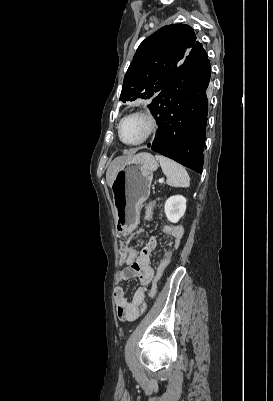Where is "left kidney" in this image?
Returning a JSON list of instances; mask_svg holds the SVG:
<instances>
[{
  "label": "left kidney",
  "mask_w": 273,
  "mask_h": 401,
  "mask_svg": "<svg viewBox=\"0 0 273 401\" xmlns=\"http://www.w3.org/2000/svg\"><path fill=\"white\" fill-rule=\"evenodd\" d=\"M165 215L170 223H178L186 211V198L182 194H174L167 198L165 203Z\"/></svg>",
  "instance_id": "1"
}]
</instances>
